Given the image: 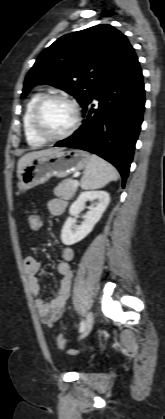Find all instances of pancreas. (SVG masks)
<instances>
[{
	"label": "pancreas",
	"instance_id": "pancreas-1",
	"mask_svg": "<svg viewBox=\"0 0 165 419\" xmlns=\"http://www.w3.org/2000/svg\"><path fill=\"white\" fill-rule=\"evenodd\" d=\"M76 191L77 187L73 185V179L68 178L58 184V186L54 189V194L65 200H70Z\"/></svg>",
	"mask_w": 165,
	"mask_h": 419
}]
</instances>
